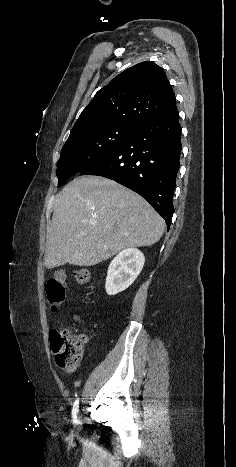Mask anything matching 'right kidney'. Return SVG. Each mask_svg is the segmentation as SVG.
Here are the masks:
<instances>
[{"mask_svg":"<svg viewBox=\"0 0 236 467\" xmlns=\"http://www.w3.org/2000/svg\"><path fill=\"white\" fill-rule=\"evenodd\" d=\"M145 262L143 253L136 248L120 252L108 267L105 288L108 295L127 289L140 274Z\"/></svg>","mask_w":236,"mask_h":467,"instance_id":"right-kidney-1","label":"right kidney"}]
</instances>
